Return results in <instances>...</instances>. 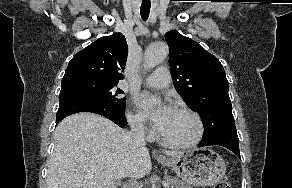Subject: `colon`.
Masks as SVG:
<instances>
[{
    "mask_svg": "<svg viewBox=\"0 0 292 188\" xmlns=\"http://www.w3.org/2000/svg\"><path fill=\"white\" fill-rule=\"evenodd\" d=\"M213 188H231V185L228 180H222L215 184Z\"/></svg>",
    "mask_w": 292,
    "mask_h": 188,
    "instance_id": "colon-1",
    "label": "colon"
}]
</instances>
